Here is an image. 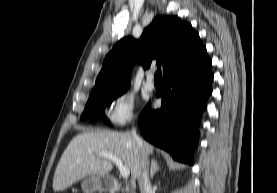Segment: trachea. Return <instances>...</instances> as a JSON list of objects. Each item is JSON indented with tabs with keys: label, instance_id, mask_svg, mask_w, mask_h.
Listing matches in <instances>:
<instances>
[{
	"label": "trachea",
	"instance_id": "1",
	"mask_svg": "<svg viewBox=\"0 0 277 193\" xmlns=\"http://www.w3.org/2000/svg\"><path fill=\"white\" fill-rule=\"evenodd\" d=\"M154 80L155 81H162V72H161L160 67L157 68V71H156L155 76H154Z\"/></svg>",
	"mask_w": 277,
	"mask_h": 193
}]
</instances>
